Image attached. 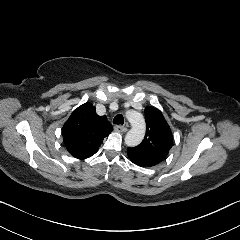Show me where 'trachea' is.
<instances>
[{"label":"trachea","instance_id":"obj_1","mask_svg":"<svg viewBox=\"0 0 240 240\" xmlns=\"http://www.w3.org/2000/svg\"><path fill=\"white\" fill-rule=\"evenodd\" d=\"M114 124H123L124 123V117L122 114H118L113 119Z\"/></svg>","mask_w":240,"mask_h":240}]
</instances>
